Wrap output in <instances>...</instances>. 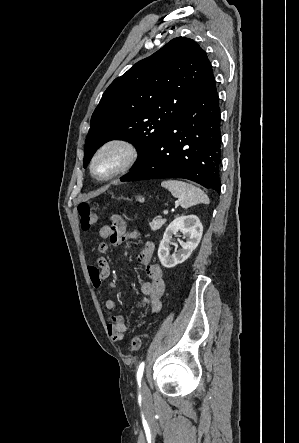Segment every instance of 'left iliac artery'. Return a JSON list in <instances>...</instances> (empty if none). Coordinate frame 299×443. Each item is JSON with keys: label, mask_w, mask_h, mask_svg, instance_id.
Masks as SVG:
<instances>
[{"label": "left iliac artery", "mask_w": 299, "mask_h": 443, "mask_svg": "<svg viewBox=\"0 0 299 443\" xmlns=\"http://www.w3.org/2000/svg\"><path fill=\"white\" fill-rule=\"evenodd\" d=\"M144 366H145V363L141 362L139 367H138L137 374H136L137 382H138V386L139 387H141V380H142V377H143Z\"/></svg>", "instance_id": "left-iliac-artery-1"}]
</instances>
